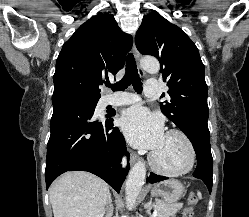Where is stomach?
I'll return each mask as SVG.
<instances>
[{
    "instance_id": "stomach-1",
    "label": "stomach",
    "mask_w": 249,
    "mask_h": 217,
    "mask_svg": "<svg viewBox=\"0 0 249 217\" xmlns=\"http://www.w3.org/2000/svg\"><path fill=\"white\" fill-rule=\"evenodd\" d=\"M184 186L176 179H168L151 187V195L167 204L176 203L183 195Z\"/></svg>"
}]
</instances>
